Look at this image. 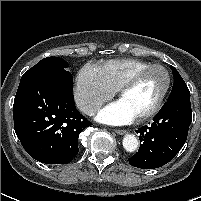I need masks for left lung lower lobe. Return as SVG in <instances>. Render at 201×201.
<instances>
[{
    "mask_svg": "<svg viewBox=\"0 0 201 201\" xmlns=\"http://www.w3.org/2000/svg\"><path fill=\"white\" fill-rule=\"evenodd\" d=\"M191 121L190 94L168 98L152 124L136 130L142 144L129 163L141 169L167 164L185 144Z\"/></svg>",
    "mask_w": 201,
    "mask_h": 201,
    "instance_id": "obj_1",
    "label": "left lung lower lobe"
}]
</instances>
